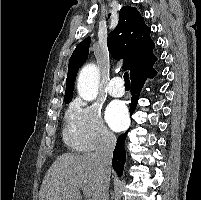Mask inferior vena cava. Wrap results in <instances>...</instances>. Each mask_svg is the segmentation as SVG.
Segmentation results:
<instances>
[{
	"label": "inferior vena cava",
	"instance_id": "602c4592",
	"mask_svg": "<svg viewBox=\"0 0 201 200\" xmlns=\"http://www.w3.org/2000/svg\"><path fill=\"white\" fill-rule=\"evenodd\" d=\"M115 144L116 137L112 133H105L94 153L101 172L96 200H109L110 165Z\"/></svg>",
	"mask_w": 201,
	"mask_h": 200
}]
</instances>
